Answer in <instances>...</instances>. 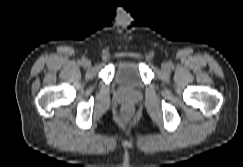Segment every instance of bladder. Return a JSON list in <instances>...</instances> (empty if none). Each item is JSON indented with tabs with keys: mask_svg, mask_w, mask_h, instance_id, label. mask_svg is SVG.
I'll return each instance as SVG.
<instances>
[{
	"mask_svg": "<svg viewBox=\"0 0 243 167\" xmlns=\"http://www.w3.org/2000/svg\"><path fill=\"white\" fill-rule=\"evenodd\" d=\"M115 81L118 87L137 91L142 87L141 72L138 64L133 61H122L116 65Z\"/></svg>",
	"mask_w": 243,
	"mask_h": 167,
	"instance_id": "bladder-1",
	"label": "bladder"
}]
</instances>
